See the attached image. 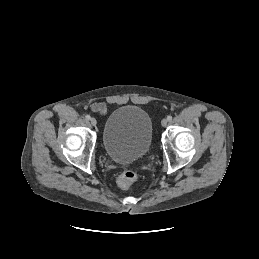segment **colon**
I'll return each mask as SVG.
<instances>
[{
  "label": "colon",
  "mask_w": 259,
  "mask_h": 259,
  "mask_svg": "<svg viewBox=\"0 0 259 259\" xmlns=\"http://www.w3.org/2000/svg\"><path fill=\"white\" fill-rule=\"evenodd\" d=\"M137 180V175L133 171H124L122 172L118 179H117V184L119 188L123 191H127L131 185Z\"/></svg>",
  "instance_id": "5ec220e1"
}]
</instances>
